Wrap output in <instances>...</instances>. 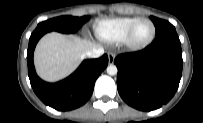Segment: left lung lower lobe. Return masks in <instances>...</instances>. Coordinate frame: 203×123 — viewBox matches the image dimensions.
<instances>
[{
	"mask_svg": "<svg viewBox=\"0 0 203 123\" xmlns=\"http://www.w3.org/2000/svg\"><path fill=\"white\" fill-rule=\"evenodd\" d=\"M114 63L121 98L138 110L158 109L174 96L182 76L179 37L167 31L141 51L118 55Z\"/></svg>",
	"mask_w": 203,
	"mask_h": 123,
	"instance_id": "0a47b994",
	"label": "left lung lower lobe"
}]
</instances>
